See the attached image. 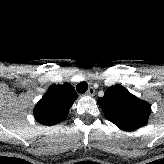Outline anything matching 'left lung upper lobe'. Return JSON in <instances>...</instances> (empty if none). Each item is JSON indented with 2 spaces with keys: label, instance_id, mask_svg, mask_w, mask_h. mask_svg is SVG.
<instances>
[{
  "label": "left lung upper lobe",
  "instance_id": "1",
  "mask_svg": "<svg viewBox=\"0 0 164 164\" xmlns=\"http://www.w3.org/2000/svg\"><path fill=\"white\" fill-rule=\"evenodd\" d=\"M98 104L107 120L124 131H134L148 122L151 105L117 84L109 87Z\"/></svg>",
  "mask_w": 164,
  "mask_h": 164
}]
</instances>
